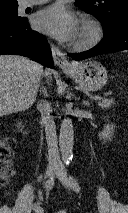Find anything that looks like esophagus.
<instances>
[{"mask_svg": "<svg viewBox=\"0 0 128 213\" xmlns=\"http://www.w3.org/2000/svg\"><path fill=\"white\" fill-rule=\"evenodd\" d=\"M54 63L63 70H70L73 65L67 60L65 54L55 45L51 44Z\"/></svg>", "mask_w": 128, "mask_h": 213, "instance_id": "obj_1", "label": "esophagus"}]
</instances>
